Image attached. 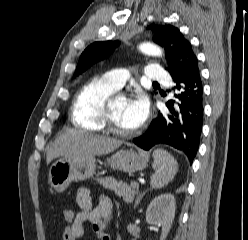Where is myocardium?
<instances>
[{"label": "myocardium", "mask_w": 248, "mask_h": 240, "mask_svg": "<svg viewBox=\"0 0 248 240\" xmlns=\"http://www.w3.org/2000/svg\"><path fill=\"white\" fill-rule=\"evenodd\" d=\"M114 98L115 97H110L105 102L102 115H101V123L103 125V128L109 132H112L114 134L121 135V136H128V135L134 134L136 132L135 129L121 130L116 126L114 119L111 115V103Z\"/></svg>", "instance_id": "f54148a6"}]
</instances>
